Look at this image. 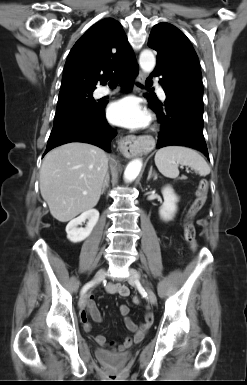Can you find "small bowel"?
I'll list each match as a JSON object with an SVG mask.
<instances>
[{
  "mask_svg": "<svg viewBox=\"0 0 247 385\" xmlns=\"http://www.w3.org/2000/svg\"><path fill=\"white\" fill-rule=\"evenodd\" d=\"M105 289L106 292L110 295H119L125 297L130 294L129 287L124 284L108 283L106 284ZM119 312L123 316L125 326L133 334V337L127 338L124 343L116 347L115 351L123 352L129 346H131L133 342H137L142 338L143 334L152 325L154 318L151 312H147L144 316L143 323L138 325L131 319L129 315V308L126 305H121L119 307ZM80 318L83 327L86 331L91 330L89 318L93 319L96 322H100L102 320V315L96 306L95 297L93 295L88 296L86 306L81 312ZM95 341L100 347H103L106 344V338L101 334L95 336Z\"/></svg>",
  "mask_w": 247,
  "mask_h": 385,
  "instance_id": "1",
  "label": "small bowel"
}]
</instances>
